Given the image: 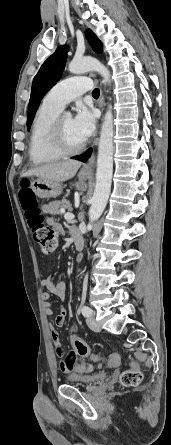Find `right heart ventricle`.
<instances>
[{"label":"right heart ventricle","instance_id":"right-heart-ventricle-1","mask_svg":"<svg viewBox=\"0 0 171 445\" xmlns=\"http://www.w3.org/2000/svg\"><path fill=\"white\" fill-rule=\"evenodd\" d=\"M60 112L61 110L46 105L44 102L38 109L29 141V156L34 164L49 163L62 157L52 148L49 141L50 126Z\"/></svg>","mask_w":171,"mask_h":445}]
</instances>
